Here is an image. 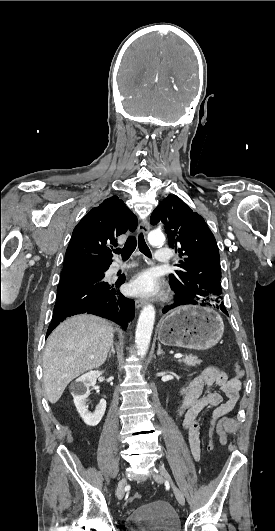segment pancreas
<instances>
[{
  "mask_svg": "<svg viewBox=\"0 0 275 531\" xmlns=\"http://www.w3.org/2000/svg\"><path fill=\"white\" fill-rule=\"evenodd\" d=\"M178 363H184L186 367H196L201 365L202 361L196 355H185L184 359H178Z\"/></svg>",
  "mask_w": 275,
  "mask_h": 531,
  "instance_id": "1",
  "label": "pancreas"
}]
</instances>
